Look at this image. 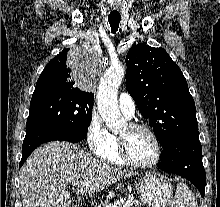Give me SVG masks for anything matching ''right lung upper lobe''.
Here are the masks:
<instances>
[{
  "instance_id": "right-lung-upper-lobe-1",
  "label": "right lung upper lobe",
  "mask_w": 220,
  "mask_h": 207,
  "mask_svg": "<svg viewBox=\"0 0 220 207\" xmlns=\"http://www.w3.org/2000/svg\"><path fill=\"white\" fill-rule=\"evenodd\" d=\"M63 49L57 56H55L44 68L36 83L35 89L55 88L64 90L80 91L87 94H92L82 91L75 86L74 76L71 68L67 63V51ZM94 95V94H92Z\"/></svg>"
}]
</instances>
